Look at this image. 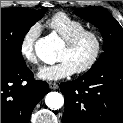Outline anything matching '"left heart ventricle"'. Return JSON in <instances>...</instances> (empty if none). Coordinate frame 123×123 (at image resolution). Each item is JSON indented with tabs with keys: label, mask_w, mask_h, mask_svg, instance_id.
I'll return each instance as SVG.
<instances>
[{
	"label": "left heart ventricle",
	"mask_w": 123,
	"mask_h": 123,
	"mask_svg": "<svg viewBox=\"0 0 123 123\" xmlns=\"http://www.w3.org/2000/svg\"><path fill=\"white\" fill-rule=\"evenodd\" d=\"M94 42L92 38L85 37L81 39L73 48H67L65 45L58 53L57 59L67 60L76 69L83 66L92 56Z\"/></svg>",
	"instance_id": "obj_1"
}]
</instances>
